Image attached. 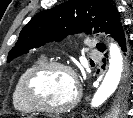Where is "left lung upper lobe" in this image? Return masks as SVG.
<instances>
[{
    "instance_id": "left-lung-upper-lobe-1",
    "label": "left lung upper lobe",
    "mask_w": 133,
    "mask_h": 118,
    "mask_svg": "<svg viewBox=\"0 0 133 118\" xmlns=\"http://www.w3.org/2000/svg\"><path fill=\"white\" fill-rule=\"evenodd\" d=\"M121 24L119 12L110 0H69L36 14L21 30L15 46L8 54V62L40 47L46 42L61 41L68 34L105 31L112 35ZM105 45L98 43L101 51ZM130 95L129 87L119 88L110 102V116L125 113Z\"/></svg>"
}]
</instances>
